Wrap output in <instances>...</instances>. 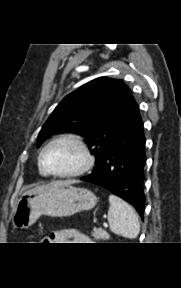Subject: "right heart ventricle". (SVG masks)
<instances>
[{"instance_id": "obj_1", "label": "right heart ventricle", "mask_w": 181, "mask_h": 288, "mask_svg": "<svg viewBox=\"0 0 181 288\" xmlns=\"http://www.w3.org/2000/svg\"><path fill=\"white\" fill-rule=\"evenodd\" d=\"M38 173L41 175V176H47L44 171L41 169L40 165H39V162H38Z\"/></svg>"}]
</instances>
